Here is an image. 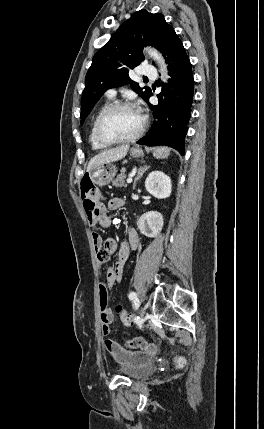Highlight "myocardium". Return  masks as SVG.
I'll use <instances>...</instances> for the list:
<instances>
[{"instance_id": "1", "label": "myocardium", "mask_w": 264, "mask_h": 429, "mask_svg": "<svg viewBox=\"0 0 264 429\" xmlns=\"http://www.w3.org/2000/svg\"><path fill=\"white\" fill-rule=\"evenodd\" d=\"M124 108H132L135 109L134 104H132L131 102L128 101H119V102H115L111 105H109L104 111L103 113L98 117L96 124H95V129H94V133H95V137L97 139V141L105 146H110V145H115V144H123V143H129L132 141H135L136 139H138L142 133L145 130V126H146V119L143 115H140L141 118V122H140V126L137 129V131L127 137V138H123V139H116V140H110L107 139L103 136L102 134V125L104 123V121L114 112L120 110V109H124Z\"/></svg>"}]
</instances>
